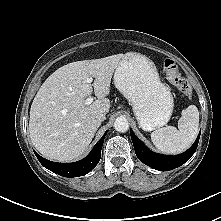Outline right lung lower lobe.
I'll use <instances>...</instances> for the list:
<instances>
[{
    "label": "right lung lower lobe",
    "instance_id": "obj_1",
    "mask_svg": "<svg viewBox=\"0 0 221 221\" xmlns=\"http://www.w3.org/2000/svg\"><path fill=\"white\" fill-rule=\"evenodd\" d=\"M103 136L94 146L92 151L84 159L73 163H55L39 156L36 152L35 155L39 162L48 170L61 175L63 177H78L89 173L100 161L101 149L104 141Z\"/></svg>",
    "mask_w": 221,
    "mask_h": 221
}]
</instances>
